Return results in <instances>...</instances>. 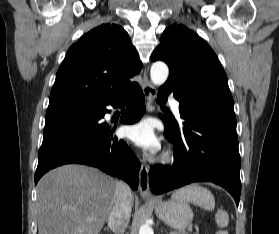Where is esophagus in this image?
<instances>
[{"mask_svg": "<svg viewBox=\"0 0 279 234\" xmlns=\"http://www.w3.org/2000/svg\"><path fill=\"white\" fill-rule=\"evenodd\" d=\"M142 89L145 96L146 108L147 110H150L152 109L153 101L156 99L157 90L154 87V85L149 81L146 69L143 74ZM139 192L143 198L152 199V194L149 186V168L145 163L141 165V169H140Z\"/></svg>", "mask_w": 279, "mask_h": 234, "instance_id": "esophagus-1", "label": "esophagus"}]
</instances>
